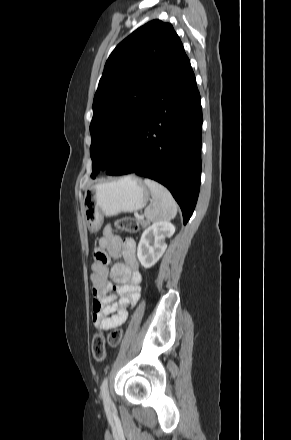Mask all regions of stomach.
Listing matches in <instances>:
<instances>
[{
  "label": "stomach",
  "mask_w": 291,
  "mask_h": 440,
  "mask_svg": "<svg viewBox=\"0 0 291 440\" xmlns=\"http://www.w3.org/2000/svg\"><path fill=\"white\" fill-rule=\"evenodd\" d=\"M150 199V190L139 177L124 176L87 188L82 200V211L88 229H98L103 216L131 213L144 208Z\"/></svg>",
  "instance_id": "1"
}]
</instances>
